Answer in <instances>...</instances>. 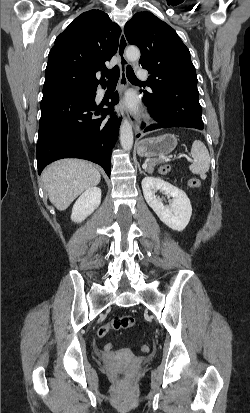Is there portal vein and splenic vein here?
<instances>
[{
	"label": "portal vein and splenic vein",
	"mask_w": 250,
	"mask_h": 413,
	"mask_svg": "<svg viewBox=\"0 0 250 413\" xmlns=\"http://www.w3.org/2000/svg\"><path fill=\"white\" fill-rule=\"evenodd\" d=\"M182 157H185V158H187L188 160H190V158H189L188 156H186L185 154H180V155L177 157V159L182 158Z\"/></svg>",
	"instance_id": "obj_1"
}]
</instances>
